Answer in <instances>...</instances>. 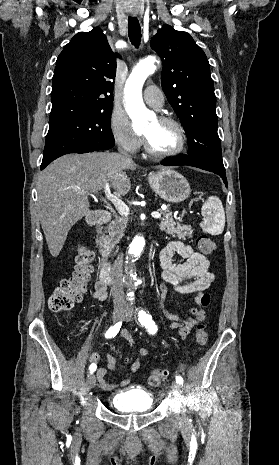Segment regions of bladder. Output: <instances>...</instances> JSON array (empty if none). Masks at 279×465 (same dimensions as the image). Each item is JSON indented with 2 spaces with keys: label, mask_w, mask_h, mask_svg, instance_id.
<instances>
[{
  "label": "bladder",
  "mask_w": 279,
  "mask_h": 465,
  "mask_svg": "<svg viewBox=\"0 0 279 465\" xmlns=\"http://www.w3.org/2000/svg\"><path fill=\"white\" fill-rule=\"evenodd\" d=\"M109 405L119 412L147 413L154 407V397L143 387L132 386L109 397Z\"/></svg>",
  "instance_id": "bladder-1"
}]
</instances>
